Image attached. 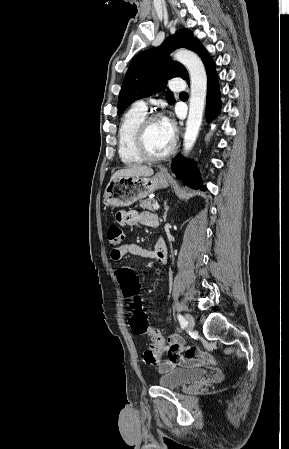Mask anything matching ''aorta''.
<instances>
[{"label":"aorta","instance_id":"762f6f07","mask_svg":"<svg viewBox=\"0 0 289 449\" xmlns=\"http://www.w3.org/2000/svg\"><path fill=\"white\" fill-rule=\"evenodd\" d=\"M173 57L187 68L190 76L189 114L183 141L184 151L188 153L194 146L202 123L207 93V75L201 59L192 51L179 49Z\"/></svg>","mask_w":289,"mask_h":449}]
</instances>
